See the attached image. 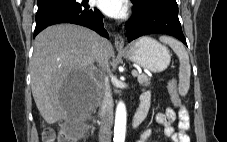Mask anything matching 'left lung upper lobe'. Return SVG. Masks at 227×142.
<instances>
[{
  "label": "left lung upper lobe",
  "mask_w": 227,
  "mask_h": 142,
  "mask_svg": "<svg viewBox=\"0 0 227 142\" xmlns=\"http://www.w3.org/2000/svg\"><path fill=\"white\" fill-rule=\"evenodd\" d=\"M134 7L144 8L151 3H160L178 9L176 0H131Z\"/></svg>",
  "instance_id": "left-lung-upper-lobe-1"
}]
</instances>
